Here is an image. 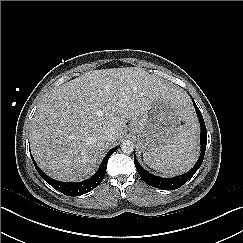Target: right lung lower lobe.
I'll return each mask as SVG.
<instances>
[{
    "mask_svg": "<svg viewBox=\"0 0 243 243\" xmlns=\"http://www.w3.org/2000/svg\"><path fill=\"white\" fill-rule=\"evenodd\" d=\"M118 149V146L116 148L111 149L107 155L104 157L99 169L97 172L89 179L78 182V183H64L57 180H54L47 176L35 163L32 155V160L34 163V166L37 170V172L40 174V176L53 188L60 191L61 193L68 195V196H79L85 193L90 192L94 188H96L103 180L106 168H107V162L109 157Z\"/></svg>",
    "mask_w": 243,
    "mask_h": 243,
    "instance_id": "obj_1",
    "label": "right lung lower lobe"
}]
</instances>
